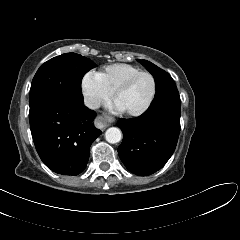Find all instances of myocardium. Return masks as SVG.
I'll return each instance as SVG.
<instances>
[{
  "mask_svg": "<svg viewBox=\"0 0 240 240\" xmlns=\"http://www.w3.org/2000/svg\"><path fill=\"white\" fill-rule=\"evenodd\" d=\"M142 75H148L153 83V88H152V94L151 97L149 99V101L146 103L145 106H143L142 108L138 109V110H127V113L131 116H142L145 113H147L150 108L152 107L154 100L156 98V94H157V79L155 77V75L149 71H140L134 75H132L131 77H129L126 81H124L115 91V97L118 99V97L127 89H129L131 87V85L136 81V79H138L140 76Z\"/></svg>",
  "mask_w": 240,
  "mask_h": 240,
  "instance_id": "obj_1",
  "label": "myocardium"
}]
</instances>
